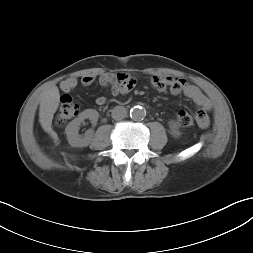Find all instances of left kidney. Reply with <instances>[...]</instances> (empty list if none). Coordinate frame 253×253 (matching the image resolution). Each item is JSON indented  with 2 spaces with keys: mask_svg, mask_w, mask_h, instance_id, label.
I'll list each match as a JSON object with an SVG mask.
<instances>
[{
  "mask_svg": "<svg viewBox=\"0 0 253 253\" xmlns=\"http://www.w3.org/2000/svg\"><path fill=\"white\" fill-rule=\"evenodd\" d=\"M169 127L171 129V133L175 136L178 137L181 135L179 128L177 126V124L174 121H170L169 123Z\"/></svg>",
  "mask_w": 253,
  "mask_h": 253,
  "instance_id": "5707ae66",
  "label": "left kidney"
}]
</instances>
